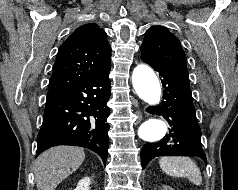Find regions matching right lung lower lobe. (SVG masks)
<instances>
[{
	"label": "right lung lower lobe",
	"instance_id": "right-lung-lower-lobe-1",
	"mask_svg": "<svg viewBox=\"0 0 238 190\" xmlns=\"http://www.w3.org/2000/svg\"><path fill=\"white\" fill-rule=\"evenodd\" d=\"M110 68L46 100L36 157L52 146L73 145L95 151L105 164L109 144L106 104L110 97Z\"/></svg>",
	"mask_w": 238,
	"mask_h": 190
}]
</instances>
